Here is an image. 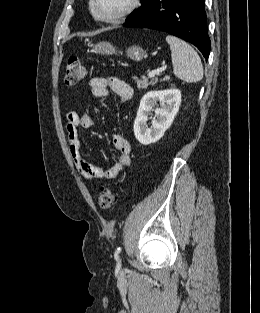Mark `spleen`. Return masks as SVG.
<instances>
[{
  "label": "spleen",
  "mask_w": 260,
  "mask_h": 313,
  "mask_svg": "<svg viewBox=\"0 0 260 313\" xmlns=\"http://www.w3.org/2000/svg\"><path fill=\"white\" fill-rule=\"evenodd\" d=\"M166 41L171 49L174 75L187 83L200 81L203 78V66L197 52L178 37L167 35Z\"/></svg>",
  "instance_id": "spleen-1"
}]
</instances>
